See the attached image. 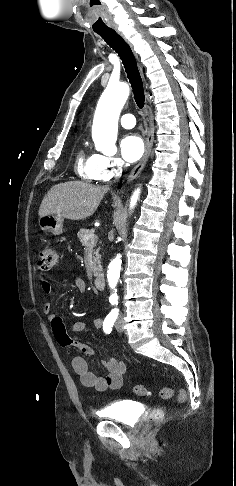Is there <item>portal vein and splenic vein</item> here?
Segmentation results:
<instances>
[{
    "instance_id": "18ae733b",
    "label": "portal vein and splenic vein",
    "mask_w": 236,
    "mask_h": 486,
    "mask_svg": "<svg viewBox=\"0 0 236 486\" xmlns=\"http://www.w3.org/2000/svg\"><path fill=\"white\" fill-rule=\"evenodd\" d=\"M89 239H90V237H86V240H89Z\"/></svg>"
}]
</instances>
